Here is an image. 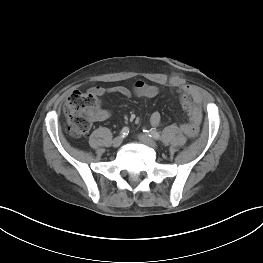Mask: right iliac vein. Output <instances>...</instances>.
<instances>
[{
	"instance_id": "right-iliac-vein-1",
	"label": "right iliac vein",
	"mask_w": 263,
	"mask_h": 263,
	"mask_svg": "<svg viewBox=\"0 0 263 263\" xmlns=\"http://www.w3.org/2000/svg\"><path fill=\"white\" fill-rule=\"evenodd\" d=\"M123 142V137L122 136H117L114 138L112 145L113 147H119L121 143Z\"/></svg>"
}]
</instances>
